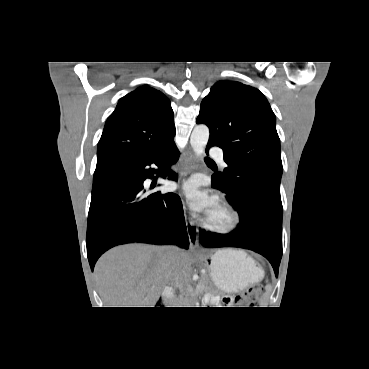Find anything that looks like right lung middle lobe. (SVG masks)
I'll return each instance as SVG.
<instances>
[{
  "label": "right lung middle lobe",
  "mask_w": 369,
  "mask_h": 369,
  "mask_svg": "<svg viewBox=\"0 0 369 369\" xmlns=\"http://www.w3.org/2000/svg\"><path fill=\"white\" fill-rule=\"evenodd\" d=\"M115 163H104V164H97L96 170L94 173V178L99 176L100 174L108 171Z\"/></svg>",
  "instance_id": "dd1d6c3e"
}]
</instances>
